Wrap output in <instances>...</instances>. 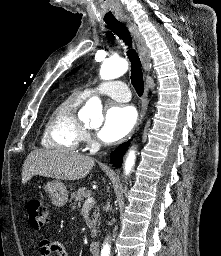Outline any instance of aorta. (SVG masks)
<instances>
[{
  "label": "aorta",
  "instance_id": "aorta-1",
  "mask_svg": "<svg viewBox=\"0 0 221 256\" xmlns=\"http://www.w3.org/2000/svg\"><path fill=\"white\" fill-rule=\"evenodd\" d=\"M128 70V62L125 59H107L105 60L100 69V77L103 80H111L124 75ZM80 116L90 119H98L102 117V103L98 97L90 98L85 106L81 109ZM135 150L131 149L126 157L124 170L128 175L135 164ZM110 245L105 243L101 250V256H109Z\"/></svg>",
  "mask_w": 221,
  "mask_h": 256
}]
</instances>
